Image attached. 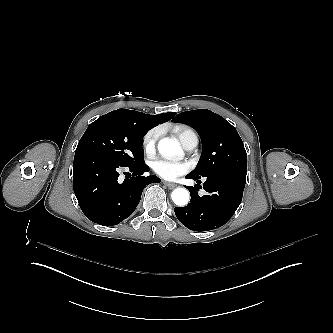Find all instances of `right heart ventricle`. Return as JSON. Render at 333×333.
I'll use <instances>...</instances> for the list:
<instances>
[{
  "instance_id": "1",
  "label": "right heart ventricle",
  "mask_w": 333,
  "mask_h": 333,
  "mask_svg": "<svg viewBox=\"0 0 333 333\" xmlns=\"http://www.w3.org/2000/svg\"><path fill=\"white\" fill-rule=\"evenodd\" d=\"M190 130V129H184V130H178L176 131V136H178V138L181 140V142L183 143V137L185 135V133Z\"/></svg>"
}]
</instances>
